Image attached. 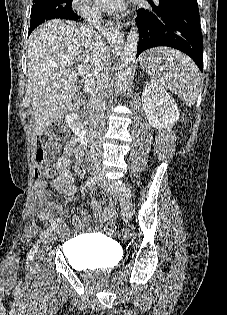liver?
<instances>
[{
  "label": "liver",
  "instance_id": "liver-1",
  "mask_svg": "<svg viewBox=\"0 0 227 315\" xmlns=\"http://www.w3.org/2000/svg\"><path fill=\"white\" fill-rule=\"evenodd\" d=\"M109 55L99 35L73 21L51 20L33 31L28 40L27 90L37 135L72 103L78 75L74 64L84 66L92 77Z\"/></svg>",
  "mask_w": 227,
  "mask_h": 315
}]
</instances>
